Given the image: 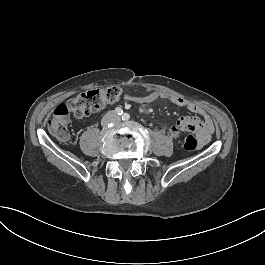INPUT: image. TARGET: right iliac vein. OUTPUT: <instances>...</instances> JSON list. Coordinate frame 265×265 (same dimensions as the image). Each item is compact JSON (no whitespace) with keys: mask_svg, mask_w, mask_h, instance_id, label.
Segmentation results:
<instances>
[{"mask_svg":"<svg viewBox=\"0 0 265 265\" xmlns=\"http://www.w3.org/2000/svg\"><path fill=\"white\" fill-rule=\"evenodd\" d=\"M111 121V115H108L106 117L103 118L102 120V124L106 125Z\"/></svg>","mask_w":265,"mask_h":265,"instance_id":"1","label":"right iliac vein"}]
</instances>
